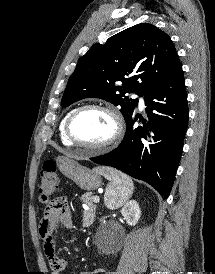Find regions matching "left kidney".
<instances>
[{"instance_id":"obj_1","label":"left kidney","mask_w":215,"mask_h":274,"mask_svg":"<svg viewBox=\"0 0 215 274\" xmlns=\"http://www.w3.org/2000/svg\"><path fill=\"white\" fill-rule=\"evenodd\" d=\"M121 214L130 226H135L141 216L139 204L135 200L126 203L121 210Z\"/></svg>"}]
</instances>
